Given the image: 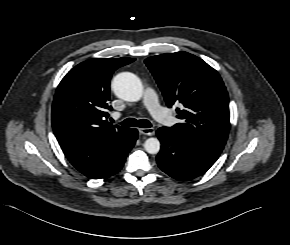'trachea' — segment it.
I'll return each instance as SVG.
<instances>
[{"label": "trachea", "mask_w": 290, "mask_h": 245, "mask_svg": "<svg viewBox=\"0 0 290 245\" xmlns=\"http://www.w3.org/2000/svg\"><path fill=\"white\" fill-rule=\"evenodd\" d=\"M123 126L128 127H140V128H150L152 125L151 123L146 119L136 120L134 118H127L124 121L120 123Z\"/></svg>", "instance_id": "1"}]
</instances>
